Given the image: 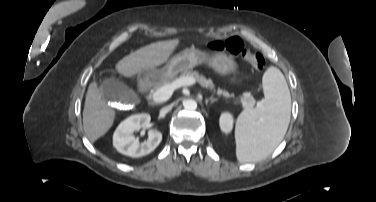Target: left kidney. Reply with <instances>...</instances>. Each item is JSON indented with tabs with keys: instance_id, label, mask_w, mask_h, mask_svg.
I'll list each match as a JSON object with an SVG mask.
<instances>
[{
	"instance_id": "obj_1",
	"label": "left kidney",
	"mask_w": 376,
	"mask_h": 202,
	"mask_svg": "<svg viewBox=\"0 0 376 202\" xmlns=\"http://www.w3.org/2000/svg\"><path fill=\"white\" fill-rule=\"evenodd\" d=\"M220 127L221 130L225 133H229L233 127V118L230 114L224 113L220 118Z\"/></svg>"
}]
</instances>
